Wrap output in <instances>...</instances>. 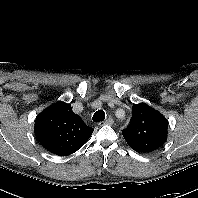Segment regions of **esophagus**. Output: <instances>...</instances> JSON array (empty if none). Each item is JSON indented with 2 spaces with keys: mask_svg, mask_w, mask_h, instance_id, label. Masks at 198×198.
Listing matches in <instances>:
<instances>
[{
  "mask_svg": "<svg viewBox=\"0 0 198 198\" xmlns=\"http://www.w3.org/2000/svg\"><path fill=\"white\" fill-rule=\"evenodd\" d=\"M114 123V120L111 118V117H109L107 120H105V121H100L99 123H98V125L99 126H104V125H112Z\"/></svg>",
  "mask_w": 198,
  "mask_h": 198,
  "instance_id": "obj_1",
  "label": "esophagus"
}]
</instances>
